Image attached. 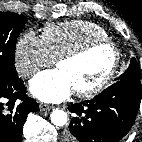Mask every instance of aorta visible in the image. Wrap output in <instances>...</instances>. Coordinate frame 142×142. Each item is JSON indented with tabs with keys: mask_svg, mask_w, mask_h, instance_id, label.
<instances>
[{
	"mask_svg": "<svg viewBox=\"0 0 142 142\" xmlns=\"http://www.w3.org/2000/svg\"><path fill=\"white\" fill-rule=\"evenodd\" d=\"M51 122L55 125V126H64L67 123V114L66 112H64L63 110L60 109H56L54 110L51 115Z\"/></svg>",
	"mask_w": 142,
	"mask_h": 142,
	"instance_id": "aorta-1",
	"label": "aorta"
}]
</instances>
